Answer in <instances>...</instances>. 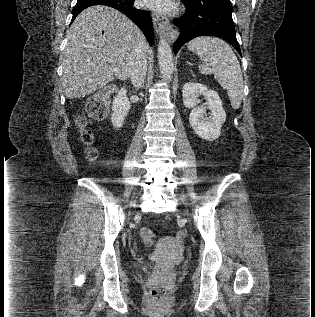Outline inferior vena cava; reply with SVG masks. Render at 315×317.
Here are the masks:
<instances>
[{"mask_svg":"<svg viewBox=\"0 0 315 317\" xmlns=\"http://www.w3.org/2000/svg\"><path fill=\"white\" fill-rule=\"evenodd\" d=\"M147 48L146 41H143L138 47L135 58L132 61L131 81L135 88L139 89L144 83L147 72Z\"/></svg>","mask_w":315,"mask_h":317,"instance_id":"inferior-vena-cava-1","label":"inferior vena cava"}]
</instances>
